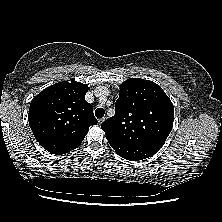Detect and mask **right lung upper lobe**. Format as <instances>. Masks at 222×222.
I'll return each mask as SVG.
<instances>
[{"instance_id":"cb5924a9","label":"right lung upper lobe","mask_w":222,"mask_h":222,"mask_svg":"<svg viewBox=\"0 0 222 222\" xmlns=\"http://www.w3.org/2000/svg\"><path fill=\"white\" fill-rule=\"evenodd\" d=\"M86 84L63 81L35 96L28 121L39 144L52 154H66L77 148L89 127L97 124L93 107L86 102Z\"/></svg>"}]
</instances>
